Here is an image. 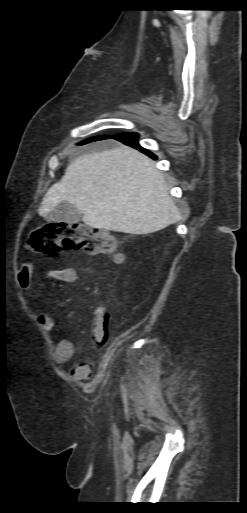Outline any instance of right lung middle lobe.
<instances>
[{
	"instance_id": "1",
	"label": "right lung middle lobe",
	"mask_w": 247,
	"mask_h": 513,
	"mask_svg": "<svg viewBox=\"0 0 247 513\" xmlns=\"http://www.w3.org/2000/svg\"><path fill=\"white\" fill-rule=\"evenodd\" d=\"M103 138H105V136H100V137H95V138L87 139L82 144L89 143V142L96 141V140H101Z\"/></svg>"
}]
</instances>
